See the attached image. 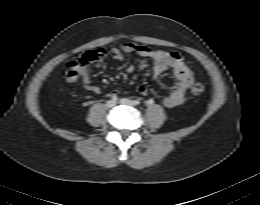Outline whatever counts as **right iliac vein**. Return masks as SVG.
Listing matches in <instances>:
<instances>
[{
    "label": "right iliac vein",
    "instance_id": "right-iliac-vein-1",
    "mask_svg": "<svg viewBox=\"0 0 260 205\" xmlns=\"http://www.w3.org/2000/svg\"><path fill=\"white\" fill-rule=\"evenodd\" d=\"M115 105H116V103L114 101H111V100L106 103L107 108H113Z\"/></svg>",
    "mask_w": 260,
    "mask_h": 205
}]
</instances>
